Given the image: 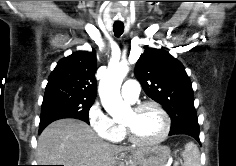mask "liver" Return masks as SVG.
<instances>
[{"label":"liver","instance_id":"6515ba94","mask_svg":"<svg viewBox=\"0 0 236 166\" xmlns=\"http://www.w3.org/2000/svg\"><path fill=\"white\" fill-rule=\"evenodd\" d=\"M123 152L130 153L128 164L135 166L142 150L111 145L98 138L86 123L61 119L40 134L36 159L39 165L116 166Z\"/></svg>","mask_w":236,"mask_h":166}]
</instances>
